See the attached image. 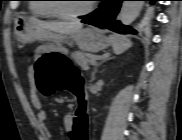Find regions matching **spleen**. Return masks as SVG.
<instances>
[{"instance_id":"obj_1","label":"spleen","mask_w":182,"mask_h":140,"mask_svg":"<svg viewBox=\"0 0 182 140\" xmlns=\"http://www.w3.org/2000/svg\"><path fill=\"white\" fill-rule=\"evenodd\" d=\"M109 40L116 54H121L132 46L130 39L124 36L110 35Z\"/></svg>"}]
</instances>
